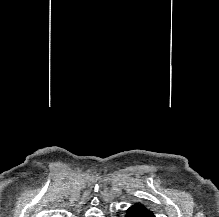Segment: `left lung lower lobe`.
I'll list each match as a JSON object with an SVG mask.
<instances>
[{"instance_id": "0a47b994", "label": "left lung lower lobe", "mask_w": 219, "mask_h": 217, "mask_svg": "<svg viewBox=\"0 0 219 217\" xmlns=\"http://www.w3.org/2000/svg\"><path fill=\"white\" fill-rule=\"evenodd\" d=\"M125 217H155V215L145 206L135 204L128 209Z\"/></svg>"}]
</instances>
